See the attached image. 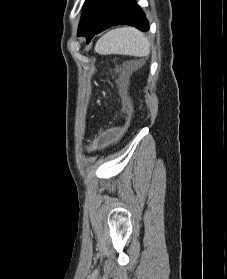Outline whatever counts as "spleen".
I'll return each mask as SVG.
<instances>
[{
    "instance_id": "spleen-1",
    "label": "spleen",
    "mask_w": 227,
    "mask_h": 279,
    "mask_svg": "<svg viewBox=\"0 0 227 279\" xmlns=\"http://www.w3.org/2000/svg\"><path fill=\"white\" fill-rule=\"evenodd\" d=\"M94 49L101 55L120 54L144 57L150 53V43L137 29L123 27L106 33L97 41Z\"/></svg>"
}]
</instances>
